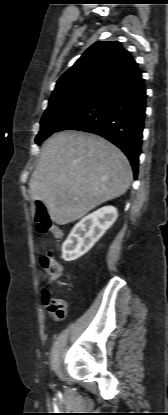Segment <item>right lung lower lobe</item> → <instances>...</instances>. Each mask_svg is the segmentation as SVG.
Listing matches in <instances>:
<instances>
[{"label": "right lung lower lobe", "mask_w": 168, "mask_h": 415, "mask_svg": "<svg viewBox=\"0 0 168 415\" xmlns=\"http://www.w3.org/2000/svg\"><path fill=\"white\" fill-rule=\"evenodd\" d=\"M146 109V89L136 66L100 96L83 107L58 130L94 133L119 147L129 159L136 178Z\"/></svg>", "instance_id": "1"}]
</instances>
